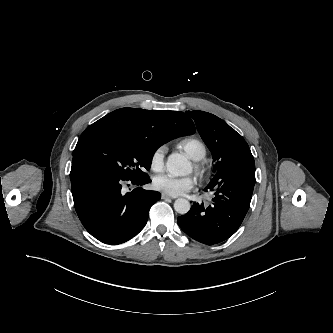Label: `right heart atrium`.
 <instances>
[{
  "label": "right heart atrium",
  "instance_id": "d8ad5b80",
  "mask_svg": "<svg viewBox=\"0 0 333 333\" xmlns=\"http://www.w3.org/2000/svg\"><path fill=\"white\" fill-rule=\"evenodd\" d=\"M165 147H158L151 155L150 168L155 172H160L164 168Z\"/></svg>",
  "mask_w": 333,
  "mask_h": 333
}]
</instances>
